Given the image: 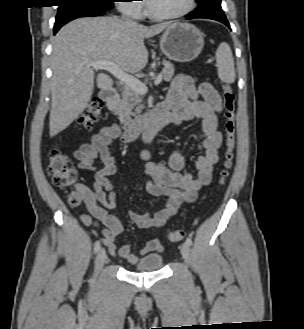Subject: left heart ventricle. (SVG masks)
<instances>
[{
    "label": "left heart ventricle",
    "mask_w": 304,
    "mask_h": 329,
    "mask_svg": "<svg viewBox=\"0 0 304 329\" xmlns=\"http://www.w3.org/2000/svg\"><path fill=\"white\" fill-rule=\"evenodd\" d=\"M153 12L158 14H171L183 10L188 0H147Z\"/></svg>",
    "instance_id": "obj_1"
}]
</instances>
